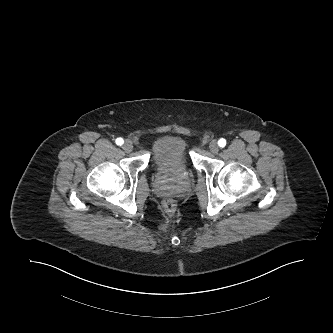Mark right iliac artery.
<instances>
[{
    "mask_svg": "<svg viewBox=\"0 0 333 333\" xmlns=\"http://www.w3.org/2000/svg\"><path fill=\"white\" fill-rule=\"evenodd\" d=\"M115 142L117 145H122L124 143V140L122 138H117Z\"/></svg>",
    "mask_w": 333,
    "mask_h": 333,
    "instance_id": "1",
    "label": "right iliac artery"
}]
</instances>
